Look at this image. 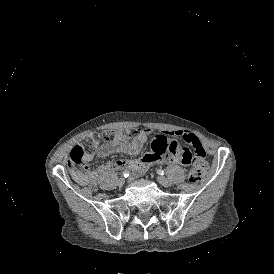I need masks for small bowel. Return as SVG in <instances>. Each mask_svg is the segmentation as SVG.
I'll return each instance as SVG.
<instances>
[{"mask_svg":"<svg viewBox=\"0 0 274 274\" xmlns=\"http://www.w3.org/2000/svg\"><path fill=\"white\" fill-rule=\"evenodd\" d=\"M152 130L150 128H142L138 131L137 136L130 142L116 141L105 142L97 148L99 157H106L115 153H128L135 155L139 153L142 147L147 143ZM169 135L179 137L188 143L189 148L182 142L171 139L167 135H160L151 147V153L141 152L137 160L117 159L112 163H105L98 168V172H107L111 169H132L146 170L149 166H155L162 161L171 164H180L189 166L194 162L197 154L206 155V151L201 140L190 131H173L168 132ZM93 153H85L82 161L88 163L93 159ZM72 177L80 184H87L94 178V173L87 169H75L72 171Z\"/></svg>","mask_w":274,"mask_h":274,"instance_id":"small-bowel-1","label":"small bowel"}]
</instances>
